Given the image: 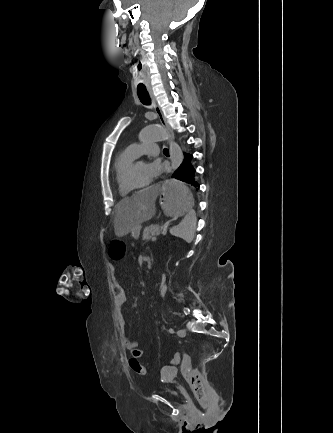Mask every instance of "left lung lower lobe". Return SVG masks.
Returning <instances> with one entry per match:
<instances>
[{"mask_svg": "<svg viewBox=\"0 0 333 433\" xmlns=\"http://www.w3.org/2000/svg\"><path fill=\"white\" fill-rule=\"evenodd\" d=\"M192 159H193V155L185 152L182 164L172 175L173 178L185 182V186L187 187V189L198 186L194 178L195 168L192 165Z\"/></svg>", "mask_w": 333, "mask_h": 433, "instance_id": "left-lung-lower-lobe-1", "label": "left lung lower lobe"}]
</instances>
